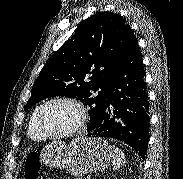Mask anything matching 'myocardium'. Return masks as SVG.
Returning <instances> with one entry per match:
<instances>
[{"mask_svg": "<svg viewBox=\"0 0 183 179\" xmlns=\"http://www.w3.org/2000/svg\"><path fill=\"white\" fill-rule=\"evenodd\" d=\"M55 103H67V104L72 105L78 112V121L75 124V126L68 131L56 133V134H49V133H46L42 129L41 120H42V116H43L45 110L49 106H51L52 104H55ZM86 120H87V113H86L84 105L75 98L62 96V97H56V98L50 99L49 101L45 102L41 106V108L37 114V118H36V128H37V131L39 132V134L43 138H48V139L67 138V137H71V136H74L75 134L79 133L82 130V128L85 126Z\"/></svg>", "mask_w": 183, "mask_h": 179, "instance_id": "1", "label": "myocardium"}]
</instances>
